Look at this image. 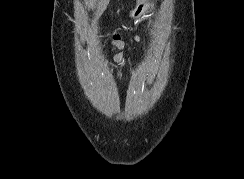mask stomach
Wrapping results in <instances>:
<instances>
[{
  "label": "stomach",
  "instance_id": "0dacf381",
  "mask_svg": "<svg viewBox=\"0 0 244 179\" xmlns=\"http://www.w3.org/2000/svg\"><path fill=\"white\" fill-rule=\"evenodd\" d=\"M141 7H142V8H145V7H146V2H145V0H142ZM139 8H140V6H139V4H138L136 10H133V12H132V18H138V16H141V14H142V10H139Z\"/></svg>",
  "mask_w": 244,
  "mask_h": 179
}]
</instances>
